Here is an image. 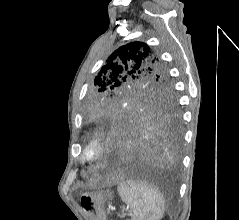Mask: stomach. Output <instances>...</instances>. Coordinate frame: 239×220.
I'll list each match as a JSON object with an SVG mask.
<instances>
[{
	"instance_id": "stomach-1",
	"label": "stomach",
	"mask_w": 239,
	"mask_h": 220,
	"mask_svg": "<svg viewBox=\"0 0 239 220\" xmlns=\"http://www.w3.org/2000/svg\"><path fill=\"white\" fill-rule=\"evenodd\" d=\"M104 196L93 193H84L80 198V206L83 212L92 220H103L102 205Z\"/></svg>"
}]
</instances>
